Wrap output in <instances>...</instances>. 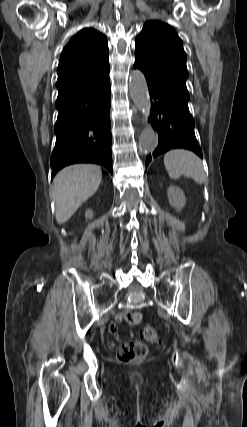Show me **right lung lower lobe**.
Segmentation results:
<instances>
[{
	"label": "right lung lower lobe",
	"mask_w": 247,
	"mask_h": 427,
	"mask_svg": "<svg viewBox=\"0 0 247 427\" xmlns=\"http://www.w3.org/2000/svg\"><path fill=\"white\" fill-rule=\"evenodd\" d=\"M56 108V143L50 160L52 178L74 163L100 164L112 173L109 77L58 97Z\"/></svg>",
	"instance_id": "98d812e1"
}]
</instances>
